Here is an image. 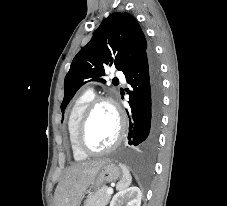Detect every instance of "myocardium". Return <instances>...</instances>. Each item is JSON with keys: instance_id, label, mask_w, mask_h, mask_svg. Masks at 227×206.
<instances>
[{"instance_id": "1", "label": "myocardium", "mask_w": 227, "mask_h": 206, "mask_svg": "<svg viewBox=\"0 0 227 206\" xmlns=\"http://www.w3.org/2000/svg\"><path fill=\"white\" fill-rule=\"evenodd\" d=\"M100 104H108L114 109L118 119L119 129H118V134L116 139L110 146L102 150H93L86 144L85 134H86V129H87V125L90 120V117L93 111L95 110V108ZM125 131H126L125 117L117 102L113 98L108 96H97V97H94L88 103V105L85 107L84 111L80 116V119L76 128V133H75V143L77 148L86 155H91V156L102 155V154L111 152L112 150H114L116 147L120 145V143L122 142L125 136Z\"/></svg>"}]
</instances>
